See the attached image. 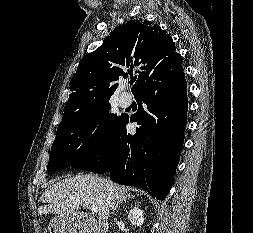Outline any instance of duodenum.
Segmentation results:
<instances>
[{
    "label": "duodenum",
    "instance_id": "410a0bca",
    "mask_svg": "<svg viewBox=\"0 0 253 233\" xmlns=\"http://www.w3.org/2000/svg\"><path fill=\"white\" fill-rule=\"evenodd\" d=\"M87 233H101V231L96 226L90 225Z\"/></svg>",
    "mask_w": 253,
    "mask_h": 233
}]
</instances>
